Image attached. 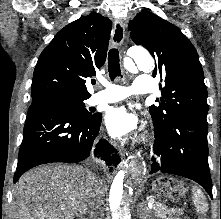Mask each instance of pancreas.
Wrapping results in <instances>:
<instances>
[{
    "label": "pancreas",
    "instance_id": "obj_1",
    "mask_svg": "<svg viewBox=\"0 0 221 219\" xmlns=\"http://www.w3.org/2000/svg\"><path fill=\"white\" fill-rule=\"evenodd\" d=\"M153 213L158 219H180L179 216L183 214L182 209L167 208L163 204H154Z\"/></svg>",
    "mask_w": 221,
    "mask_h": 219
}]
</instances>
